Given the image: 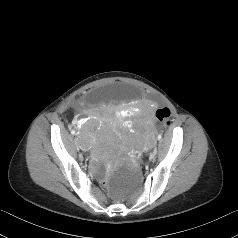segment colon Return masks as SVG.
Instances as JSON below:
<instances>
[{
	"label": "colon",
	"instance_id": "colon-1",
	"mask_svg": "<svg viewBox=\"0 0 238 238\" xmlns=\"http://www.w3.org/2000/svg\"><path fill=\"white\" fill-rule=\"evenodd\" d=\"M156 117L161 123L166 125L169 123L170 112L166 108H160L156 111ZM110 180H111V175L109 173H104L101 176V179L98 182V185L103 190H106L109 187Z\"/></svg>",
	"mask_w": 238,
	"mask_h": 238
}]
</instances>
